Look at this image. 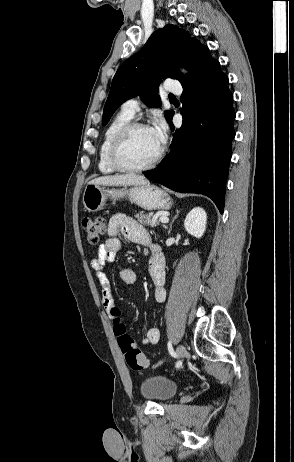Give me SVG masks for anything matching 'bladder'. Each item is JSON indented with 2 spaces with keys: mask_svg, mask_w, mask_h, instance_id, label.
<instances>
[{
  "mask_svg": "<svg viewBox=\"0 0 294 462\" xmlns=\"http://www.w3.org/2000/svg\"><path fill=\"white\" fill-rule=\"evenodd\" d=\"M139 390L144 399L163 403L175 396L177 385L163 375H154L142 380Z\"/></svg>",
  "mask_w": 294,
  "mask_h": 462,
  "instance_id": "31cf9c89",
  "label": "bladder"
}]
</instances>
